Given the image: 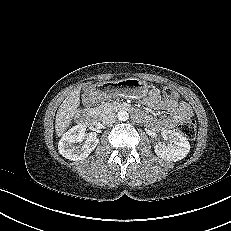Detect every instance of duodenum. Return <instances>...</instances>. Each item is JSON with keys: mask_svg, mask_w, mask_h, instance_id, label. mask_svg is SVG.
<instances>
[{"mask_svg": "<svg viewBox=\"0 0 231 231\" xmlns=\"http://www.w3.org/2000/svg\"><path fill=\"white\" fill-rule=\"evenodd\" d=\"M103 91H107L108 88L104 87L102 88ZM118 109L120 110H131V106L129 104H120L118 105ZM133 113V116L136 118V119H140L141 117V113L139 111H132ZM96 115L94 114V111H93V107L91 106H88L87 109L84 111V115L82 117V120L83 121H87V122H92L94 121Z\"/></svg>", "mask_w": 231, "mask_h": 231, "instance_id": "1", "label": "duodenum"}]
</instances>
